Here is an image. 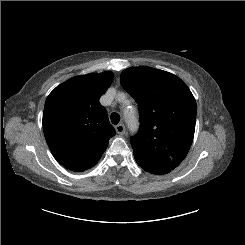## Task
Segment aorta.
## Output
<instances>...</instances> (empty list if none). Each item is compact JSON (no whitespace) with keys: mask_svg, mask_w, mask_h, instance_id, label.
I'll return each instance as SVG.
<instances>
[{"mask_svg":"<svg viewBox=\"0 0 245 245\" xmlns=\"http://www.w3.org/2000/svg\"><path fill=\"white\" fill-rule=\"evenodd\" d=\"M126 122L129 128H133L134 123H135V118L133 116L127 117Z\"/></svg>","mask_w":245,"mask_h":245,"instance_id":"762f6f07","label":"aorta"}]
</instances>
